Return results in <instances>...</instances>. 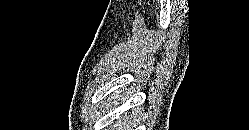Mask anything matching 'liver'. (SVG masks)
Wrapping results in <instances>:
<instances>
[{
  "mask_svg": "<svg viewBox=\"0 0 249 130\" xmlns=\"http://www.w3.org/2000/svg\"><path fill=\"white\" fill-rule=\"evenodd\" d=\"M117 97L116 98H118V95H116ZM115 99V97H111V96H109V98H108V101L110 102V103H112V101ZM128 119H125L124 120V122L122 123V126H123V128H128Z\"/></svg>",
  "mask_w": 249,
  "mask_h": 130,
  "instance_id": "liver-1",
  "label": "liver"
}]
</instances>
